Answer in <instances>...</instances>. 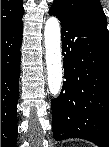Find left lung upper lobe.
<instances>
[{"mask_svg": "<svg viewBox=\"0 0 109 147\" xmlns=\"http://www.w3.org/2000/svg\"><path fill=\"white\" fill-rule=\"evenodd\" d=\"M55 8L78 22L95 29L107 36V20L99 0H54ZM70 93L77 92L81 86V77L74 71L65 77Z\"/></svg>", "mask_w": 109, "mask_h": 147, "instance_id": "obj_1", "label": "left lung upper lobe"}]
</instances>
